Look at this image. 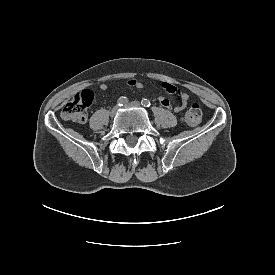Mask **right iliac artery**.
<instances>
[{
	"mask_svg": "<svg viewBox=\"0 0 275 275\" xmlns=\"http://www.w3.org/2000/svg\"><path fill=\"white\" fill-rule=\"evenodd\" d=\"M127 102H128V99L126 97L122 96L118 99L117 105L121 107V106L125 105Z\"/></svg>",
	"mask_w": 275,
	"mask_h": 275,
	"instance_id": "right-iliac-artery-1",
	"label": "right iliac artery"
}]
</instances>
